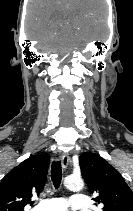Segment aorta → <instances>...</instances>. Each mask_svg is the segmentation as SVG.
Segmentation results:
<instances>
[{
    "label": "aorta",
    "mask_w": 133,
    "mask_h": 211,
    "mask_svg": "<svg viewBox=\"0 0 133 211\" xmlns=\"http://www.w3.org/2000/svg\"><path fill=\"white\" fill-rule=\"evenodd\" d=\"M64 186L71 191H80L84 187V182L80 176L70 175L64 179Z\"/></svg>",
    "instance_id": "1"
}]
</instances>
